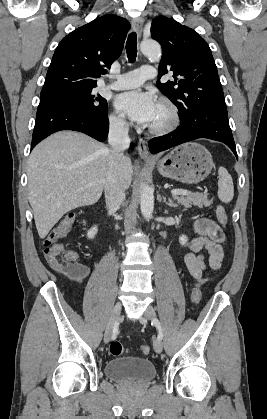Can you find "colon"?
<instances>
[{
	"label": "colon",
	"mask_w": 267,
	"mask_h": 419,
	"mask_svg": "<svg viewBox=\"0 0 267 419\" xmlns=\"http://www.w3.org/2000/svg\"><path fill=\"white\" fill-rule=\"evenodd\" d=\"M216 218L221 226L227 224V214L222 206L216 209ZM75 222L73 213L65 215L57 225L49 232L44 241V255L50 266L65 275L76 277L83 272V266L77 260V254L65 247L61 240L69 233ZM204 280L198 282L192 290V301L198 304L202 298L201 285ZM124 352L122 343L118 340L109 345V353L120 356ZM140 352L147 355L150 352L148 345L140 346Z\"/></svg>",
	"instance_id": "5ec220e1"
}]
</instances>
